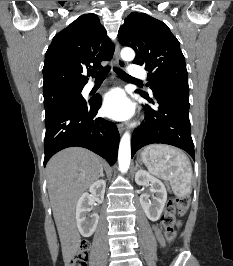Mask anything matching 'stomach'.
Instances as JSON below:
<instances>
[{"mask_svg": "<svg viewBox=\"0 0 233 266\" xmlns=\"http://www.w3.org/2000/svg\"><path fill=\"white\" fill-rule=\"evenodd\" d=\"M141 161L146 164V162L143 160L142 157H141ZM147 162L150 163V160L148 159Z\"/></svg>", "mask_w": 233, "mask_h": 266, "instance_id": "0dacf381", "label": "stomach"}]
</instances>
